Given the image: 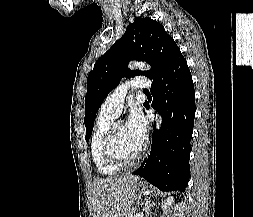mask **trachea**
<instances>
[{"instance_id":"trachea-1","label":"trachea","mask_w":253,"mask_h":217,"mask_svg":"<svg viewBox=\"0 0 253 217\" xmlns=\"http://www.w3.org/2000/svg\"><path fill=\"white\" fill-rule=\"evenodd\" d=\"M144 92L146 93V92H149L148 90H144Z\"/></svg>"}]
</instances>
